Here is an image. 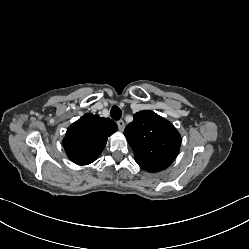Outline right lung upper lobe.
I'll return each instance as SVG.
<instances>
[{
	"label": "right lung upper lobe",
	"mask_w": 249,
	"mask_h": 249,
	"mask_svg": "<svg viewBox=\"0 0 249 249\" xmlns=\"http://www.w3.org/2000/svg\"><path fill=\"white\" fill-rule=\"evenodd\" d=\"M109 118L86 113L67 130L63 146L69 159L78 165H87L103 151L107 138L117 131Z\"/></svg>",
	"instance_id": "obj_1"
}]
</instances>
